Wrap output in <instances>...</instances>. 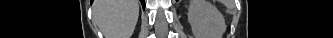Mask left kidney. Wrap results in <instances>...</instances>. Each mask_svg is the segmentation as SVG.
Instances as JSON below:
<instances>
[{
  "mask_svg": "<svg viewBox=\"0 0 333 38\" xmlns=\"http://www.w3.org/2000/svg\"><path fill=\"white\" fill-rule=\"evenodd\" d=\"M188 21L195 38H222L226 31L223 15L207 0H190Z\"/></svg>",
  "mask_w": 333,
  "mask_h": 38,
  "instance_id": "1",
  "label": "left kidney"
}]
</instances>
